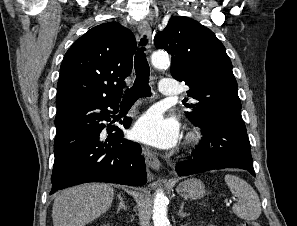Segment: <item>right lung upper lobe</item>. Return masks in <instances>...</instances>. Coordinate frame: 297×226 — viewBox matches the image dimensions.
<instances>
[{
    "label": "right lung upper lobe",
    "mask_w": 297,
    "mask_h": 226,
    "mask_svg": "<svg viewBox=\"0 0 297 226\" xmlns=\"http://www.w3.org/2000/svg\"><path fill=\"white\" fill-rule=\"evenodd\" d=\"M136 49L134 35L119 23H104L88 30L63 58L57 109L85 101H120Z\"/></svg>",
    "instance_id": "cb5924a9"
}]
</instances>
